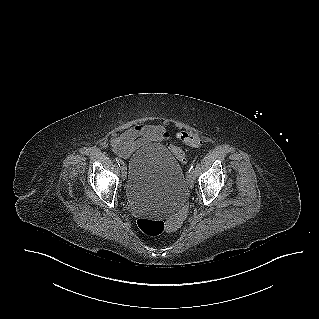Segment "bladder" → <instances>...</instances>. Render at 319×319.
I'll return each instance as SVG.
<instances>
[{
    "instance_id": "bladder-1",
    "label": "bladder",
    "mask_w": 319,
    "mask_h": 319,
    "mask_svg": "<svg viewBox=\"0 0 319 319\" xmlns=\"http://www.w3.org/2000/svg\"><path fill=\"white\" fill-rule=\"evenodd\" d=\"M126 200L138 214L167 216L186 200V177L178 160L163 144L149 143L126 167Z\"/></svg>"
}]
</instances>
